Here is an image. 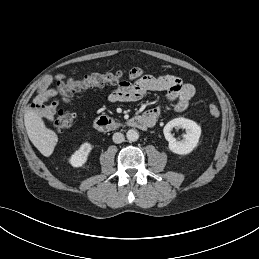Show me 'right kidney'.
Instances as JSON below:
<instances>
[{
    "label": "right kidney",
    "instance_id": "right-kidney-1",
    "mask_svg": "<svg viewBox=\"0 0 259 259\" xmlns=\"http://www.w3.org/2000/svg\"><path fill=\"white\" fill-rule=\"evenodd\" d=\"M92 150V146L90 143L85 142L83 143L78 150L74 152V154L70 157L69 163L73 167H81L83 166L88 158V155L90 154Z\"/></svg>",
    "mask_w": 259,
    "mask_h": 259
}]
</instances>
